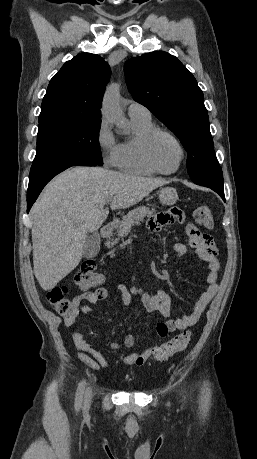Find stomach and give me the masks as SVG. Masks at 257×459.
<instances>
[{"mask_svg": "<svg viewBox=\"0 0 257 459\" xmlns=\"http://www.w3.org/2000/svg\"><path fill=\"white\" fill-rule=\"evenodd\" d=\"M159 199L163 205H173L178 200V193L173 187L161 188L159 191Z\"/></svg>", "mask_w": 257, "mask_h": 459, "instance_id": "stomach-1", "label": "stomach"}]
</instances>
